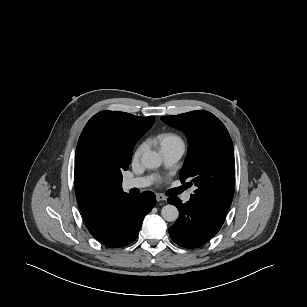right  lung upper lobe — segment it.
<instances>
[{
  "instance_id": "obj_1",
  "label": "right lung upper lobe",
  "mask_w": 307,
  "mask_h": 307,
  "mask_svg": "<svg viewBox=\"0 0 307 307\" xmlns=\"http://www.w3.org/2000/svg\"><path fill=\"white\" fill-rule=\"evenodd\" d=\"M154 121V117L103 111L84 127L75 154L76 198L94 238L109 230L122 205L132 196L122 190V174L107 162L106 144L124 135L140 139Z\"/></svg>"
}]
</instances>
